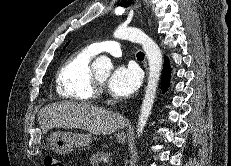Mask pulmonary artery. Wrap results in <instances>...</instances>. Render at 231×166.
Wrapping results in <instances>:
<instances>
[{
  "mask_svg": "<svg viewBox=\"0 0 231 166\" xmlns=\"http://www.w3.org/2000/svg\"><path fill=\"white\" fill-rule=\"evenodd\" d=\"M90 48L95 54L106 52L115 57L122 55V43L115 40L95 42L90 45Z\"/></svg>",
  "mask_w": 231,
  "mask_h": 166,
  "instance_id": "obj_1",
  "label": "pulmonary artery"
}]
</instances>
